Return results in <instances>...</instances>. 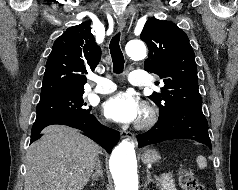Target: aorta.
Listing matches in <instances>:
<instances>
[{
	"label": "aorta",
	"instance_id": "obj_1",
	"mask_svg": "<svg viewBox=\"0 0 238 190\" xmlns=\"http://www.w3.org/2000/svg\"><path fill=\"white\" fill-rule=\"evenodd\" d=\"M127 55L134 60L146 57V46L141 40H131L126 45ZM110 170L115 190H138L137 161L132 142L123 140L110 157Z\"/></svg>",
	"mask_w": 238,
	"mask_h": 190
}]
</instances>
